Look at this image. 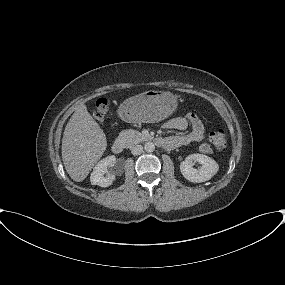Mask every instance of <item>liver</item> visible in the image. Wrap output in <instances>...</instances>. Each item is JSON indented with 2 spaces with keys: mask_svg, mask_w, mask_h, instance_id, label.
<instances>
[{
  "mask_svg": "<svg viewBox=\"0 0 285 285\" xmlns=\"http://www.w3.org/2000/svg\"><path fill=\"white\" fill-rule=\"evenodd\" d=\"M103 130L85 104H80L67 123L62 138V160L69 176L83 181L106 150Z\"/></svg>",
  "mask_w": 285,
  "mask_h": 285,
  "instance_id": "6515ba94",
  "label": "liver"
}]
</instances>
